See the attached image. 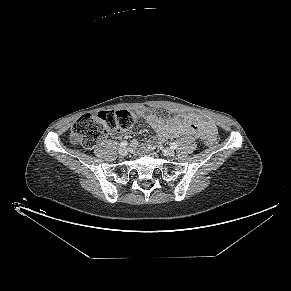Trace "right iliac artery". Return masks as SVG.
Returning <instances> with one entry per match:
<instances>
[{
  "mask_svg": "<svg viewBox=\"0 0 291 291\" xmlns=\"http://www.w3.org/2000/svg\"><path fill=\"white\" fill-rule=\"evenodd\" d=\"M120 147H125L128 145L127 141H122L120 144Z\"/></svg>",
  "mask_w": 291,
  "mask_h": 291,
  "instance_id": "1",
  "label": "right iliac artery"
}]
</instances>
